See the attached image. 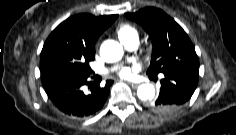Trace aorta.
Segmentation results:
<instances>
[{"instance_id": "762f6f07", "label": "aorta", "mask_w": 236, "mask_h": 135, "mask_svg": "<svg viewBox=\"0 0 236 135\" xmlns=\"http://www.w3.org/2000/svg\"><path fill=\"white\" fill-rule=\"evenodd\" d=\"M123 47L114 40H106L101 44L100 56L103 61L113 63L119 61L123 56ZM137 96L142 101H150L154 99L155 88L152 84H141L137 89Z\"/></svg>"}]
</instances>
